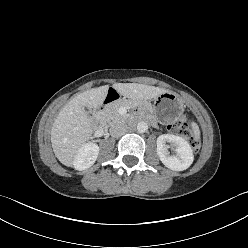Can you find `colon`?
Wrapping results in <instances>:
<instances>
[{"label": "colon", "instance_id": "obj_1", "mask_svg": "<svg viewBox=\"0 0 248 248\" xmlns=\"http://www.w3.org/2000/svg\"><path fill=\"white\" fill-rule=\"evenodd\" d=\"M168 130L176 135L185 137L190 143L193 151L197 152L200 148L198 137L192 132L186 117H182L168 126Z\"/></svg>", "mask_w": 248, "mask_h": 248}]
</instances>
